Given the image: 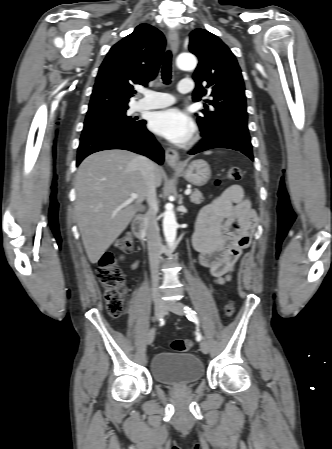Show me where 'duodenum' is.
<instances>
[{"instance_id": "duodenum-1", "label": "duodenum", "mask_w": 332, "mask_h": 449, "mask_svg": "<svg viewBox=\"0 0 332 449\" xmlns=\"http://www.w3.org/2000/svg\"><path fill=\"white\" fill-rule=\"evenodd\" d=\"M144 221H145L144 216L143 215H138L133 220L132 226H131L132 233L141 242L145 241Z\"/></svg>"}]
</instances>
